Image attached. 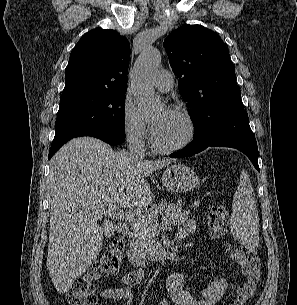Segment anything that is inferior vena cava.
<instances>
[{
    "instance_id": "obj_1",
    "label": "inferior vena cava",
    "mask_w": 297,
    "mask_h": 305,
    "mask_svg": "<svg viewBox=\"0 0 297 305\" xmlns=\"http://www.w3.org/2000/svg\"><path fill=\"white\" fill-rule=\"evenodd\" d=\"M144 133L141 130L134 131L130 137V155L135 159H142L144 157L143 147Z\"/></svg>"
}]
</instances>
